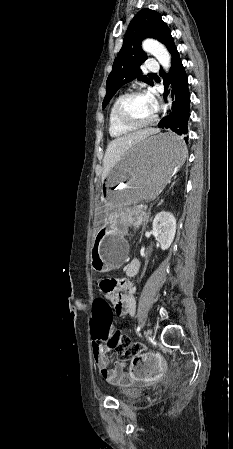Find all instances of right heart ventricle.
Wrapping results in <instances>:
<instances>
[{"label":"right heart ventricle","instance_id":"e07e8e85","mask_svg":"<svg viewBox=\"0 0 233 449\" xmlns=\"http://www.w3.org/2000/svg\"><path fill=\"white\" fill-rule=\"evenodd\" d=\"M120 97H121V95H118L114 99V101L111 104V107L109 109V114H108V131H109L110 136L113 138H120L123 136H127L133 131L132 129H128V128L121 126L115 119L114 107H115L117 100Z\"/></svg>","mask_w":233,"mask_h":449}]
</instances>
